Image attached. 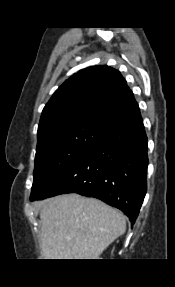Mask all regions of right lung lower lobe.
<instances>
[{"label": "right lung lower lobe", "mask_w": 175, "mask_h": 287, "mask_svg": "<svg viewBox=\"0 0 175 287\" xmlns=\"http://www.w3.org/2000/svg\"><path fill=\"white\" fill-rule=\"evenodd\" d=\"M147 136L140 111L119 121L86 154L32 201L63 193L98 198L124 212L132 225L147 184Z\"/></svg>", "instance_id": "obj_1"}]
</instances>
